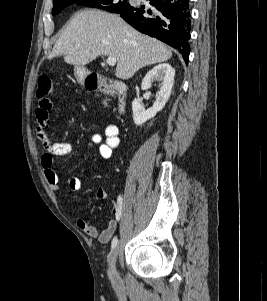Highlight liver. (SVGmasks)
I'll return each instance as SVG.
<instances>
[{
    "instance_id": "6515ba94",
    "label": "liver",
    "mask_w": 267,
    "mask_h": 301,
    "mask_svg": "<svg viewBox=\"0 0 267 301\" xmlns=\"http://www.w3.org/2000/svg\"><path fill=\"white\" fill-rule=\"evenodd\" d=\"M100 55L115 57V76L127 80L145 66L169 60L172 51L132 28L119 15L85 9L74 15L51 53L52 58L63 56L66 63L78 68Z\"/></svg>"
}]
</instances>
